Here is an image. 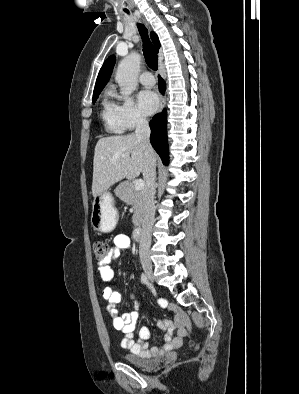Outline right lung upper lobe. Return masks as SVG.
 <instances>
[{"instance_id":"obj_1","label":"right lung upper lobe","mask_w":299,"mask_h":394,"mask_svg":"<svg viewBox=\"0 0 299 394\" xmlns=\"http://www.w3.org/2000/svg\"><path fill=\"white\" fill-rule=\"evenodd\" d=\"M151 39L154 43L156 50L158 51L160 48V43H159V39H158L157 35L154 32H151ZM115 60H116L115 56H110L104 62L103 66L101 67V69L99 71L93 95H96L98 93L100 94L102 89L105 87V85L109 81L114 64H115Z\"/></svg>"}]
</instances>
